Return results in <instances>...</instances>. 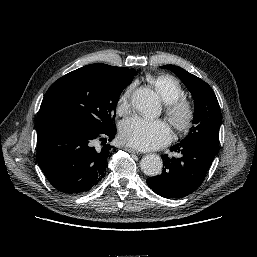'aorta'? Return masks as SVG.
<instances>
[{
  "mask_svg": "<svg viewBox=\"0 0 257 257\" xmlns=\"http://www.w3.org/2000/svg\"><path fill=\"white\" fill-rule=\"evenodd\" d=\"M132 105L143 115L151 116L158 111L160 100L153 90L140 87L132 95ZM140 166L145 175L156 176L161 173L163 163L159 155L148 154L142 158Z\"/></svg>",
  "mask_w": 257,
  "mask_h": 257,
  "instance_id": "aorta-1",
  "label": "aorta"
}]
</instances>
